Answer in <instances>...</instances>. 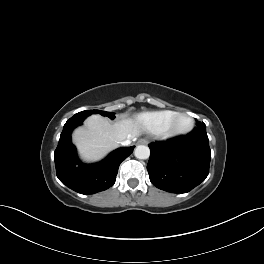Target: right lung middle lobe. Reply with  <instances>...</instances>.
Listing matches in <instances>:
<instances>
[{
  "label": "right lung middle lobe",
  "mask_w": 264,
  "mask_h": 264,
  "mask_svg": "<svg viewBox=\"0 0 264 264\" xmlns=\"http://www.w3.org/2000/svg\"><path fill=\"white\" fill-rule=\"evenodd\" d=\"M91 114H101L102 116H107L111 119L115 118L114 113L105 112V111H101V110H86V111L79 112V113L75 114L74 116H76V117H87Z\"/></svg>",
  "instance_id": "1"
}]
</instances>
